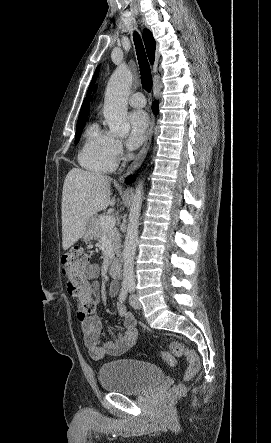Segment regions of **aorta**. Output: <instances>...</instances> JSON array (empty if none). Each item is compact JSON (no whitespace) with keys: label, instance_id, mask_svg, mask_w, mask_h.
<instances>
[{"label":"aorta","instance_id":"1","mask_svg":"<svg viewBox=\"0 0 271 443\" xmlns=\"http://www.w3.org/2000/svg\"><path fill=\"white\" fill-rule=\"evenodd\" d=\"M133 74L118 66L113 72L106 88L103 114L111 132L126 134L130 130V122L127 116L128 98L132 86ZM143 182L138 184L128 216L127 235L123 249V279L127 283H134V257L138 243V225L140 210L143 202Z\"/></svg>","mask_w":271,"mask_h":443}]
</instances>
